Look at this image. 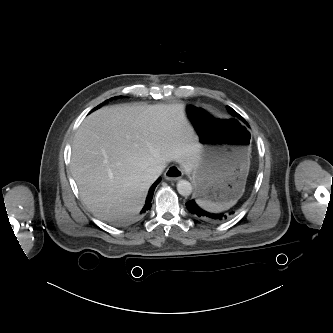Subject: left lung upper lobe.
<instances>
[{"label":"left lung upper lobe","mask_w":333,"mask_h":333,"mask_svg":"<svg viewBox=\"0 0 333 333\" xmlns=\"http://www.w3.org/2000/svg\"><path fill=\"white\" fill-rule=\"evenodd\" d=\"M228 111L230 112V114L235 117V118H239L240 120H242L243 122L246 123V121L234 110L232 109L231 107H227Z\"/></svg>","instance_id":"left-lung-upper-lobe-1"}]
</instances>
